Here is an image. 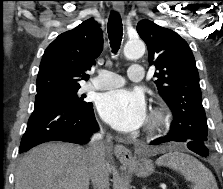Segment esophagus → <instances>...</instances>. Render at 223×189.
<instances>
[{
    "label": "esophagus",
    "instance_id": "1",
    "mask_svg": "<svg viewBox=\"0 0 223 189\" xmlns=\"http://www.w3.org/2000/svg\"><path fill=\"white\" fill-rule=\"evenodd\" d=\"M115 11L122 13L124 11V4L121 1L113 3ZM114 154L122 164H130L133 160L132 152L123 145L117 144L114 147Z\"/></svg>",
    "mask_w": 223,
    "mask_h": 189
}]
</instances>
